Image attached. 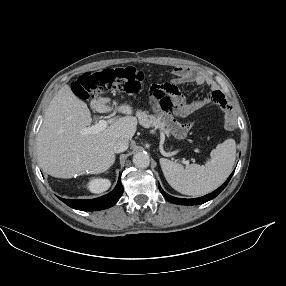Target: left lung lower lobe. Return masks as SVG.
I'll use <instances>...</instances> for the list:
<instances>
[{"instance_id":"0a47b994","label":"left lung lower lobe","mask_w":286,"mask_h":286,"mask_svg":"<svg viewBox=\"0 0 286 286\" xmlns=\"http://www.w3.org/2000/svg\"><path fill=\"white\" fill-rule=\"evenodd\" d=\"M234 173V171H233ZM233 173L229 176V178L224 182L223 185H221L218 189H216L215 191H213L210 194H207L203 197L200 198H194V199H181V198H176L173 196H170L169 194L165 193L163 191V189L160 187L159 185V190L162 193V195L170 202L175 203V204H181V205H198V204H202L205 203L213 198H215L228 184L229 180L231 179Z\"/></svg>"}]
</instances>
